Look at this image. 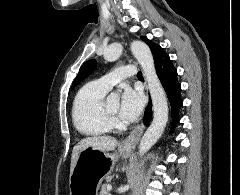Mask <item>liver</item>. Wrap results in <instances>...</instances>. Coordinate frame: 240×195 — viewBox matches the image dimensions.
Segmentation results:
<instances>
[{"label":"liver","mask_w":240,"mask_h":195,"mask_svg":"<svg viewBox=\"0 0 240 195\" xmlns=\"http://www.w3.org/2000/svg\"><path fill=\"white\" fill-rule=\"evenodd\" d=\"M118 141L112 135H94V137H84L79 143H76L73 147L72 157H71V167L70 173H72L76 161L78 159L80 149L83 147H95V149H100V151H112L117 147Z\"/></svg>","instance_id":"liver-1"}]
</instances>
